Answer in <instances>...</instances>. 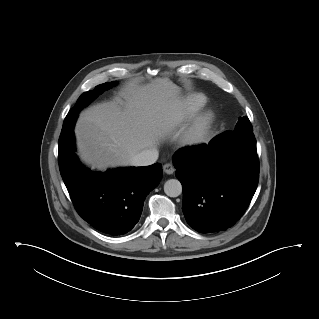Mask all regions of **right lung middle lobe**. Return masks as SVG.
<instances>
[{
  "mask_svg": "<svg viewBox=\"0 0 319 319\" xmlns=\"http://www.w3.org/2000/svg\"><path fill=\"white\" fill-rule=\"evenodd\" d=\"M115 84L116 82H111V83L107 82V83L98 85L93 91L85 92L79 97L75 107L69 111V113L67 114L64 120L59 142H63L65 139H67L70 136L71 133H73V127H74L78 112L84 106L88 105L99 94H101L103 91L108 90L110 87H112Z\"/></svg>",
  "mask_w": 319,
  "mask_h": 319,
  "instance_id": "dd1d6c3e",
  "label": "right lung middle lobe"
}]
</instances>
